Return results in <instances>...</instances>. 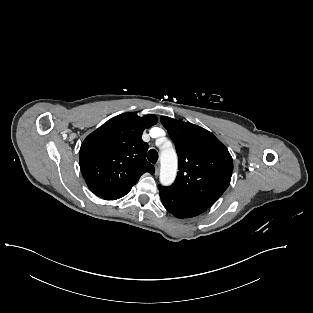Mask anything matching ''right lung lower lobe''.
<instances>
[{
    "instance_id": "right-lung-lower-lobe-1",
    "label": "right lung lower lobe",
    "mask_w": 313,
    "mask_h": 313,
    "mask_svg": "<svg viewBox=\"0 0 313 313\" xmlns=\"http://www.w3.org/2000/svg\"><path fill=\"white\" fill-rule=\"evenodd\" d=\"M130 190H131V188L122 190L120 192L108 195V196L104 197V199L105 200H116V199H119V198L123 197L124 195H126Z\"/></svg>"
}]
</instances>
